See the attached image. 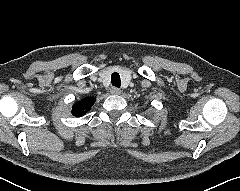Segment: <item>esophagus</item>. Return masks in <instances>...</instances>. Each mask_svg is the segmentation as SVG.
Segmentation results:
<instances>
[{"mask_svg":"<svg viewBox=\"0 0 240 191\" xmlns=\"http://www.w3.org/2000/svg\"><path fill=\"white\" fill-rule=\"evenodd\" d=\"M110 92L113 94V95H119L121 94V90L119 88H116V87H112L110 89Z\"/></svg>","mask_w":240,"mask_h":191,"instance_id":"esophagus-1","label":"esophagus"}]
</instances>
